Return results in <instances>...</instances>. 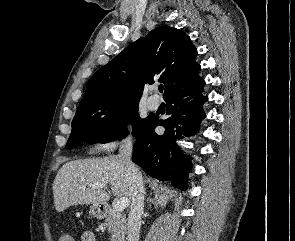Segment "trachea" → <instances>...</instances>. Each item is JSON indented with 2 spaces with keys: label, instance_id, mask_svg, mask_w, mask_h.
Wrapping results in <instances>:
<instances>
[{
  "label": "trachea",
  "instance_id": "3493384b",
  "mask_svg": "<svg viewBox=\"0 0 295 241\" xmlns=\"http://www.w3.org/2000/svg\"><path fill=\"white\" fill-rule=\"evenodd\" d=\"M158 90H159L160 93H162L163 92V86H159Z\"/></svg>",
  "mask_w": 295,
  "mask_h": 241
}]
</instances>
